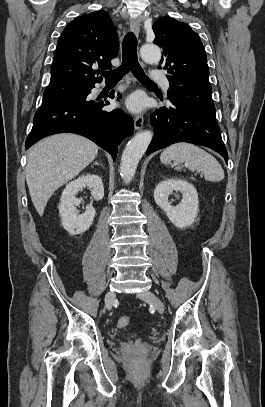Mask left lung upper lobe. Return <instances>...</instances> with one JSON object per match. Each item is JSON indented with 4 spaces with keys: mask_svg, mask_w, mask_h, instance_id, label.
I'll list each match as a JSON object with an SVG mask.
<instances>
[{
    "mask_svg": "<svg viewBox=\"0 0 265 407\" xmlns=\"http://www.w3.org/2000/svg\"><path fill=\"white\" fill-rule=\"evenodd\" d=\"M154 43L163 49L162 68L170 82V102L215 119L206 53L200 37L185 23L162 17L153 24Z\"/></svg>",
    "mask_w": 265,
    "mask_h": 407,
    "instance_id": "5c2ea615",
    "label": "left lung upper lobe"
}]
</instances>
